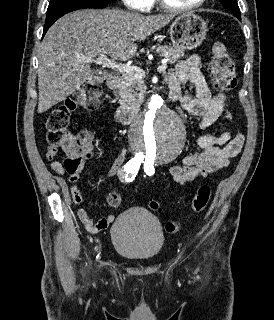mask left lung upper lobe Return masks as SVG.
Segmentation results:
<instances>
[{"label": "left lung upper lobe", "mask_w": 274, "mask_h": 320, "mask_svg": "<svg viewBox=\"0 0 274 320\" xmlns=\"http://www.w3.org/2000/svg\"><path fill=\"white\" fill-rule=\"evenodd\" d=\"M221 4L233 14H239L240 9L237 4V0H220Z\"/></svg>", "instance_id": "5c2ea615"}]
</instances>
